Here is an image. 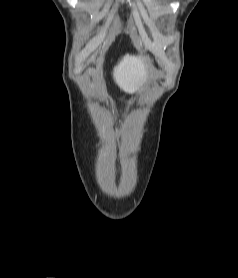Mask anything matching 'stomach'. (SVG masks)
<instances>
[{
    "mask_svg": "<svg viewBox=\"0 0 238 278\" xmlns=\"http://www.w3.org/2000/svg\"><path fill=\"white\" fill-rule=\"evenodd\" d=\"M146 88V82L145 81H142L135 89L136 92H142L144 91Z\"/></svg>",
    "mask_w": 238,
    "mask_h": 278,
    "instance_id": "0dacf381",
    "label": "stomach"
}]
</instances>
